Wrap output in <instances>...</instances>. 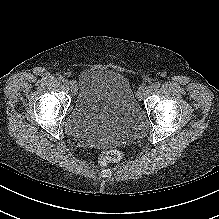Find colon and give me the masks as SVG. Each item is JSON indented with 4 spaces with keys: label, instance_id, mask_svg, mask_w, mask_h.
<instances>
[{
    "label": "colon",
    "instance_id": "5ec220e1",
    "mask_svg": "<svg viewBox=\"0 0 219 219\" xmlns=\"http://www.w3.org/2000/svg\"><path fill=\"white\" fill-rule=\"evenodd\" d=\"M122 157L123 155L120 151L109 150L101 155L99 162L102 166H107L109 164L118 163L119 161L122 160Z\"/></svg>",
    "mask_w": 219,
    "mask_h": 219
}]
</instances>
